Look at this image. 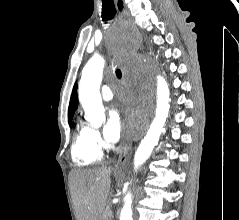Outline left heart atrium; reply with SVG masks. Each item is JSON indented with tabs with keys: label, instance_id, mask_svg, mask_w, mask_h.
I'll use <instances>...</instances> for the list:
<instances>
[{
	"label": "left heart atrium",
	"instance_id": "39dd6f15",
	"mask_svg": "<svg viewBox=\"0 0 239 220\" xmlns=\"http://www.w3.org/2000/svg\"><path fill=\"white\" fill-rule=\"evenodd\" d=\"M118 100L123 106V113L128 117L125 124L126 128L130 129L141 126L142 120L138 114L133 113L129 105L130 101L125 93H121L118 96ZM123 128L124 123L121 120L119 110L113 107L109 112V117L103 130L106 141L109 143H116L122 135Z\"/></svg>",
	"mask_w": 239,
	"mask_h": 220
}]
</instances>
